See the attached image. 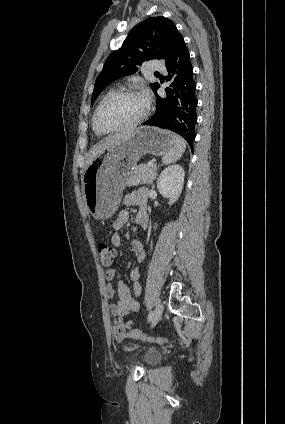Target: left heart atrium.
Listing matches in <instances>:
<instances>
[{
  "label": "left heart atrium",
  "mask_w": 285,
  "mask_h": 424,
  "mask_svg": "<svg viewBox=\"0 0 285 424\" xmlns=\"http://www.w3.org/2000/svg\"><path fill=\"white\" fill-rule=\"evenodd\" d=\"M144 98H145V99H147V98H148V94H147V93L145 94Z\"/></svg>",
  "instance_id": "obj_1"
}]
</instances>
